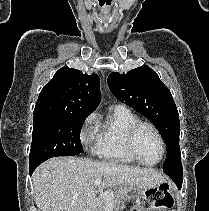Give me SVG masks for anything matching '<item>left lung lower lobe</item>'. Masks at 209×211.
Listing matches in <instances>:
<instances>
[{
	"mask_svg": "<svg viewBox=\"0 0 209 211\" xmlns=\"http://www.w3.org/2000/svg\"><path fill=\"white\" fill-rule=\"evenodd\" d=\"M178 186L180 189L182 186V176H183V170L178 173H166Z\"/></svg>",
	"mask_w": 209,
	"mask_h": 211,
	"instance_id": "1",
	"label": "left lung lower lobe"
}]
</instances>
